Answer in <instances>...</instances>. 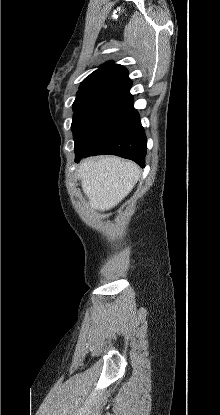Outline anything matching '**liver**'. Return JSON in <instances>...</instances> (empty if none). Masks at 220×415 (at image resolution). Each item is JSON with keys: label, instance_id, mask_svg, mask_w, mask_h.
Returning <instances> with one entry per match:
<instances>
[{"label": "liver", "instance_id": "1", "mask_svg": "<svg viewBox=\"0 0 220 415\" xmlns=\"http://www.w3.org/2000/svg\"><path fill=\"white\" fill-rule=\"evenodd\" d=\"M78 177L92 209L107 211L117 206L133 189L140 168L132 161L114 156L82 161Z\"/></svg>", "mask_w": 220, "mask_h": 415}]
</instances>
